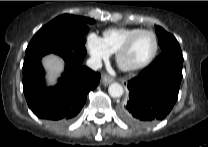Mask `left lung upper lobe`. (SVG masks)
I'll return each instance as SVG.
<instances>
[{
    "instance_id": "left-lung-upper-lobe-1",
    "label": "left lung upper lobe",
    "mask_w": 208,
    "mask_h": 147,
    "mask_svg": "<svg viewBox=\"0 0 208 147\" xmlns=\"http://www.w3.org/2000/svg\"><path fill=\"white\" fill-rule=\"evenodd\" d=\"M155 28L162 51L161 55L172 54L179 58H183L180 45L176 38L159 26H155Z\"/></svg>"
}]
</instances>
